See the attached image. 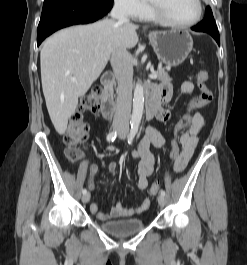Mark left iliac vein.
<instances>
[{
    "mask_svg": "<svg viewBox=\"0 0 247 265\" xmlns=\"http://www.w3.org/2000/svg\"><path fill=\"white\" fill-rule=\"evenodd\" d=\"M127 132H128L127 129L122 130V131L120 132V134H119V137L122 138V139H124V138L126 137V135H127ZM158 203H159V205H160L161 207H163V206L165 205V203H166V198H165V196L160 195V196L158 197Z\"/></svg>",
    "mask_w": 247,
    "mask_h": 265,
    "instance_id": "1",
    "label": "left iliac vein"
}]
</instances>
